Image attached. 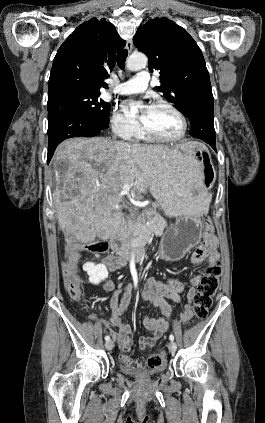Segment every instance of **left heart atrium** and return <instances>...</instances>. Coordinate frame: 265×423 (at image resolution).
Wrapping results in <instances>:
<instances>
[{"label":"left heart atrium","mask_w":265,"mask_h":423,"mask_svg":"<svg viewBox=\"0 0 265 423\" xmlns=\"http://www.w3.org/2000/svg\"><path fill=\"white\" fill-rule=\"evenodd\" d=\"M130 105H131V103H128V104H127V107H129Z\"/></svg>","instance_id":"39dd6f15"}]
</instances>
